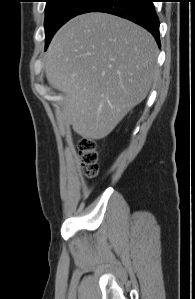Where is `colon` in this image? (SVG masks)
I'll list each match as a JSON object with an SVG mask.
<instances>
[{
  "instance_id": "1",
  "label": "colon",
  "mask_w": 195,
  "mask_h": 299,
  "mask_svg": "<svg viewBox=\"0 0 195 299\" xmlns=\"http://www.w3.org/2000/svg\"><path fill=\"white\" fill-rule=\"evenodd\" d=\"M79 154L82 162V171L88 178L96 176L98 172V162L100 151L96 141L84 136L80 138L78 143Z\"/></svg>"
}]
</instances>
